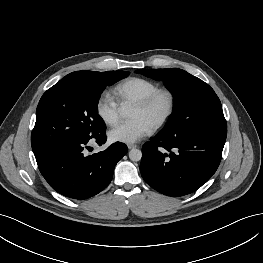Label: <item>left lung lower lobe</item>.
<instances>
[{"instance_id":"obj_1","label":"left lung lower lobe","mask_w":263,"mask_h":263,"mask_svg":"<svg viewBox=\"0 0 263 263\" xmlns=\"http://www.w3.org/2000/svg\"><path fill=\"white\" fill-rule=\"evenodd\" d=\"M226 136L227 129L184 135L160 132L142 147L141 175L162 194H190L217 170Z\"/></svg>"}]
</instances>
